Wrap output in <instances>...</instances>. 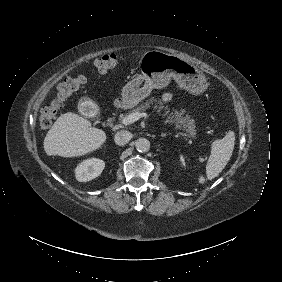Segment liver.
<instances>
[{
  "label": "liver",
  "mask_w": 282,
  "mask_h": 282,
  "mask_svg": "<svg viewBox=\"0 0 282 282\" xmlns=\"http://www.w3.org/2000/svg\"><path fill=\"white\" fill-rule=\"evenodd\" d=\"M105 138V133L92 127L88 120L68 113L62 115L48 131L44 149L47 154L80 155L98 148Z\"/></svg>",
  "instance_id": "6515ba94"
}]
</instances>
